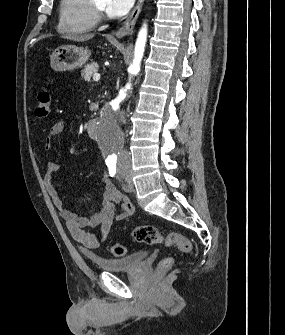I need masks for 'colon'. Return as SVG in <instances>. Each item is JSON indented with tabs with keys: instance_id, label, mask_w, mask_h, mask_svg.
<instances>
[{
	"instance_id": "obj_1",
	"label": "colon",
	"mask_w": 285,
	"mask_h": 335,
	"mask_svg": "<svg viewBox=\"0 0 285 335\" xmlns=\"http://www.w3.org/2000/svg\"><path fill=\"white\" fill-rule=\"evenodd\" d=\"M51 110V94L47 90H42L37 97L35 114L39 118L47 117ZM132 238L145 244H163L165 246H176L185 253L192 251V243L183 235L177 232H170L162 235L153 225H139L132 230ZM111 253L114 256L121 257L127 253V248L121 244H114L111 247ZM173 259L168 257L163 259L158 267L160 273L170 269Z\"/></svg>"
}]
</instances>
